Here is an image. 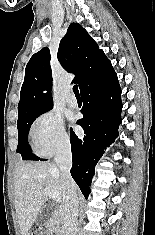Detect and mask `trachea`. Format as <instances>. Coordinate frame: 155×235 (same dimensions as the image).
I'll return each mask as SVG.
<instances>
[{
	"label": "trachea",
	"instance_id": "1",
	"mask_svg": "<svg viewBox=\"0 0 155 235\" xmlns=\"http://www.w3.org/2000/svg\"><path fill=\"white\" fill-rule=\"evenodd\" d=\"M73 92H74L75 96H80L79 90H78V85L73 86Z\"/></svg>",
	"mask_w": 155,
	"mask_h": 235
}]
</instances>
